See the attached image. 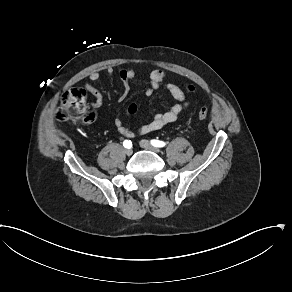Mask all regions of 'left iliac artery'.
Here are the masks:
<instances>
[{"label": "left iliac artery", "mask_w": 292, "mask_h": 292, "mask_svg": "<svg viewBox=\"0 0 292 292\" xmlns=\"http://www.w3.org/2000/svg\"><path fill=\"white\" fill-rule=\"evenodd\" d=\"M151 144L154 146V147H164L166 145L165 142L163 141H160V140H151Z\"/></svg>", "instance_id": "1"}]
</instances>
